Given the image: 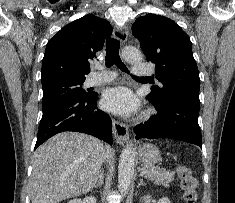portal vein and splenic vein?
Instances as JSON below:
<instances>
[{"instance_id":"portal-vein-and-splenic-vein-1","label":"portal vein and splenic vein","mask_w":235,"mask_h":203,"mask_svg":"<svg viewBox=\"0 0 235 203\" xmlns=\"http://www.w3.org/2000/svg\"><path fill=\"white\" fill-rule=\"evenodd\" d=\"M146 170H143L141 173H140V176H144V175H146Z\"/></svg>"}]
</instances>
